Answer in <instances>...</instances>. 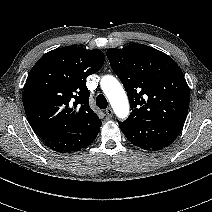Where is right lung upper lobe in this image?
Listing matches in <instances>:
<instances>
[{"mask_svg": "<svg viewBox=\"0 0 212 212\" xmlns=\"http://www.w3.org/2000/svg\"><path fill=\"white\" fill-rule=\"evenodd\" d=\"M103 63L100 50L67 46L46 53L33 66L24 87L23 105L42 140L100 130L101 120L89 106L85 80Z\"/></svg>", "mask_w": 212, "mask_h": 212, "instance_id": "cb5924a9", "label": "right lung upper lobe"}]
</instances>
